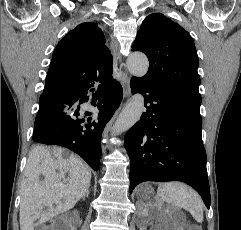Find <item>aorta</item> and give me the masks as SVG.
Wrapping results in <instances>:
<instances>
[{"label":"aorta","instance_id":"obj_1","mask_svg":"<svg viewBox=\"0 0 241 230\" xmlns=\"http://www.w3.org/2000/svg\"><path fill=\"white\" fill-rule=\"evenodd\" d=\"M148 67V58L143 53H132L129 55L127 68L134 77H144ZM143 109V96L140 93L133 95L116 120L112 129V135H118L130 129L140 119Z\"/></svg>","mask_w":241,"mask_h":230}]
</instances>
